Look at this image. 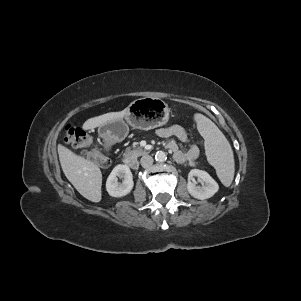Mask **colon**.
I'll return each mask as SVG.
<instances>
[{
    "label": "colon",
    "mask_w": 301,
    "mask_h": 301,
    "mask_svg": "<svg viewBox=\"0 0 301 301\" xmlns=\"http://www.w3.org/2000/svg\"><path fill=\"white\" fill-rule=\"evenodd\" d=\"M63 136L66 143L82 149V155L87 160L102 168L110 165L109 157L93 145L90 136L83 129L68 124L64 128Z\"/></svg>",
    "instance_id": "obj_1"
}]
</instances>
